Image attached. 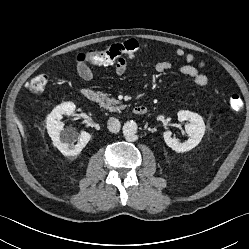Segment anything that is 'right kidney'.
<instances>
[{"label": "right kidney", "instance_id": "ca27d5eb", "mask_svg": "<svg viewBox=\"0 0 249 249\" xmlns=\"http://www.w3.org/2000/svg\"><path fill=\"white\" fill-rule=\"evenodd\" d=\"M75 110V104L72 102H65L53 109L48 115L46 120V127L48 134L52 139L53 145L64 156L78 155L82 149L87 145L91 139V135L82 131L79 135V139L76 145L70 144L75 138V134L71 131L63 130V122L61 121L63 115L70 116Z\"/></svg>", "mask_w": 249, "mask_h": 249}]
</instances>
